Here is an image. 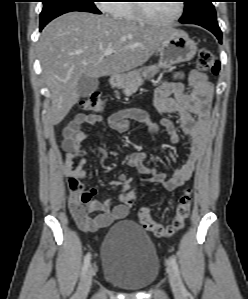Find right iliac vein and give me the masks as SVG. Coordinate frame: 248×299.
Returning a JSON list of instances; mask_svg holds the SVG:
<instances>
[{
	"label": "right iliac vein",
	"instance_id": "obj_1",
	"mask_svg": "<svg viewBox=\"0 0 248 299\" xmlns=\"http://www.w3.org/2000/svg\"><path fill=\"white\" fill-rule=\"evenodd\" d=\"M94 273H95V268L93 265H91L89 267V269L87 270L85 277H84V281H83L81 291H80V299H84L87 296V294L89 293V290L92 285V279H93Z\"/></svg>",
	"mask_w": 248,
	"mask_h": 299
}]
</instances>
